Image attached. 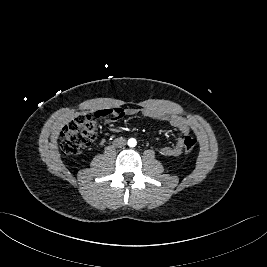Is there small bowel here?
Here are the masks:
<instances>
[{
	"label": "small bowel",
	"instance_id": "obj_1",
	"mask_svg": "<svg viewBox=\"0 0 267 267\" xmlns=\"http://www.w3.org/2000/svg\"><path fill=\"white\" fill-rule=\"evenodd\" d=\"M95 113L100 114L108 122H112L123 115H136V114H141L142 116L147 118L168 122L171 126L176 128L180 132L181 137L178 138L175 144L171 146H163L160 148V153L163 156L167 157H176L182 153L184 147L183 138L184 136L188 135L191 131L190 122L185 118H183L182 116L168 113L163 110L152 107H145L141 109L128 108L126 110H123L121 108L103 109Z\"/></svg>",
	"mask_w": 267,
	"mask_h": 267
}]
</instances>
